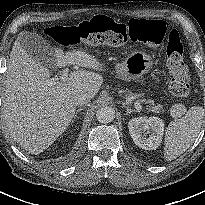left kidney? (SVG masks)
Returning a JSON list of instances; mask_svg holds the SVG:
<instances>
[{"mask_svg": "<svg viewBox=\"0 0 205 205\" xmlns=\"http://www.w3.org/2000/svg\"><path fill=\"white\" fill-rule=\"evenodd\" d=\"M128 127L129 133L138 147L144 150H155L159 147L164 133L162 119L154 116L136 117L129 121Z\"/></svg>", "mask_w": 205, "mask_h": 205, "instance_id": "1", "label": "left kidney"}]
</instances>
